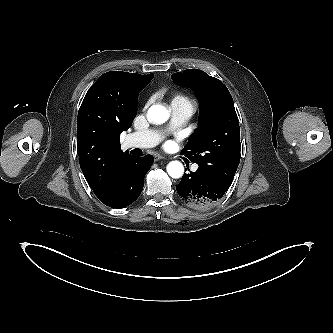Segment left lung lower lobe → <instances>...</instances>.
Masks as SVG:
<instances>
[{
	"mask_svg": "<svg viewBox=\"0 0 333 333\" xmlns=\"http://www.w3.org/2000/svg\"><path fill=\"white\" fill-rule=\"evenodd\" d=\"M181 200L197 210H207L213 207L228 190L207 172L197 169L191 174H184L176 185Z\"/></svg>",
	"mask_w": 333,
	"mask_h": 333,
	"instance_id": "left-lung-lower-lobe-1",
	"label": "left lung lower lobe"
}]
</instances>
